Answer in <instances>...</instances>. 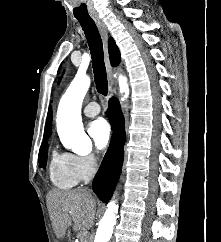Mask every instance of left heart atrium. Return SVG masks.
Wrapping results in <instances>:
<instances>
[{
  "instance_id": "left-heart-atrium-1",
  "label": "left heart atrium",
  "mask_w": 221,
  "mask_h": 242,
  "mask_svg": "<svg viewBox=\"0 0 221 242\" xmlns=\"http://www.w3.org/2000/svg\"><path fill=\"white\" fill-rule=\"evenodd\" d=\"M88 132L97 148L102 149L109 143L111 130L106 120L100 118L93 121Z\"/></svg>"
}]
</instances>
